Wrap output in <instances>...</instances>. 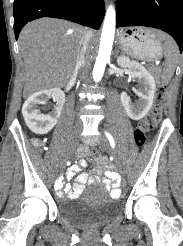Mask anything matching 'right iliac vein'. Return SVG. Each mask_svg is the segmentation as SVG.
<instances>
[{
	"mask_svg": "<svg viewBox=\"0 0 183 246\" xmlns=\"http://www.w3.org/2000/svg\"><path fill=\"white\" fill-rule=\"evenodd\" d=\"M81 131V124H76L72 133H71V137H70V143H69V152H67L66 155V160L68 159L69 156H71L72 154V150L78 140L79 134Z\"/></svg>",
	"mask_w": 183,
	"mask_h": 246,
	"instance_id": "right-iliac-vein-1",
	"label": "right iliac vein"
}]
</instances>
